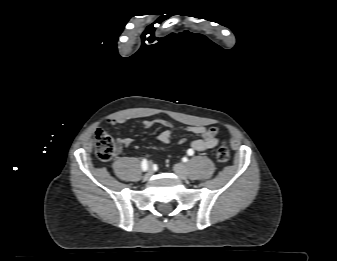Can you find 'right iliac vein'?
<instances>
[{
    "instance_id": "obj_1",
    "label": "right iliac vein",
    "mask_w": 337,
    "mask_h": 261,
    "mask_svg": "<svg viewBox=\"0 0 337 261\" xmlns=\"http://www.w3.org/2000/svg\"><path fill=\"white\" fill-rule=\"evenodd\" d=\"M152 174H153V169H152L151 167H149V169H148V171H147V173H146V178L151 177Z\"/></svg>"
}]
</instances>
